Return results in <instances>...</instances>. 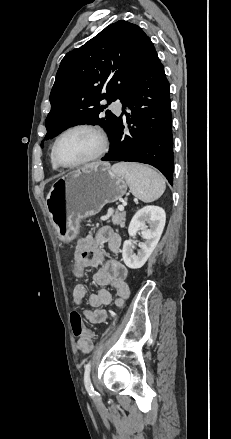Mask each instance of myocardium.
Masks as SVG:
<instances>
[{"instance_id": "myocardium-1", "label": "myocardium", "mask_w": 231, "mask_h": 439, "mask_svg": "<svg viewBox=\"0 0 231 439\" xmlns=\"http://www.w3.org/2000/svg\"><path fill=\"white\" fill-rule=\"evenodd\" d=\"M76 130H87V131H90V132H93L94 134H96L100 140V147H99V150L91 157H89L85 160H82L80 162H77V163L67 164V163H64L63 161H61V159L58 156V152H57L58 144H59L60 140L62 139V137H64L66 134L73 132V131H76ZM109 145H110V141H109L108 134L101 127L94 125V124H88V123L76 124V125H73L67 129H65L57 136V138L55 139L53 146H52V155H53L54 161L56 162V164L59 167L77 168V167L92 163V162L97 161L100 158H102L108 152Z\"/></svg>"}]
</instances>
